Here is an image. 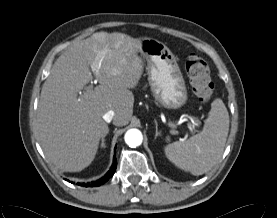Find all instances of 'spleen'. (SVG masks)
I'll return each instance as SVG.
<instances>
[{
    "label": "spleen",
    "mask_w": 277,
    "mask_h": 218,
    "mask_svg": "<svg viewBox=\"0 0 277 218\" xmlns=\"http://www.w3.org/2000/svg\"><path fill=\"white\" fill-rule=\"evenodd\" d=\"M229 132V114L221 99L211 103L203 130L186 141L165 146L167 158L193 175L208 172L223 154Z\"/></svg>",
    "instance_id": "spleen-1"
}]
</instances>
